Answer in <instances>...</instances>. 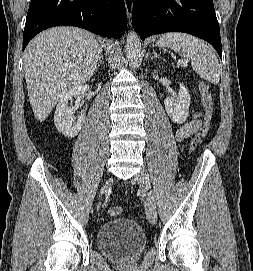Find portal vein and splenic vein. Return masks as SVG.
<instances>
[{"instance_id": "18ae733b", "label": "portal vein and splenic vein", "mask_w": 253, "mask_h": 271, "mask_svg": "<svg viewBox=\"0 0 253 271\" xmlns=\"http://www.w3.org/2000/svg\"><path fill=\"white\" fill-rule=\"evenodd\" d=\"M181 64H182V66H185V65H186V62H182Z\"/></svg>"}]
</instances>
